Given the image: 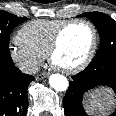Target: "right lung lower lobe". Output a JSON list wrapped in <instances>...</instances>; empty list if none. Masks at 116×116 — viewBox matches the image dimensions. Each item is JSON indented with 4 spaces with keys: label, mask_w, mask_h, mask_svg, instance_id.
Masks as SVG:
<instances>
[{
    "label": "right lung lower lobe",
    "mask_w": 116,
    "mask_h": 116,
    "mask_svg": "<svg viewBox=\"0 0 116 116\" xmlns=\"http://www.w3.org/2000/svg\"><path fill=\"white\" fill-rule=\"evenodd\" d=\"M34 77L21 73L14 63L0 68V116H26L27 89Z\"/></svg>",
    "instance_id": "right-lung-lower-lobe-1"
}]
</instances>
